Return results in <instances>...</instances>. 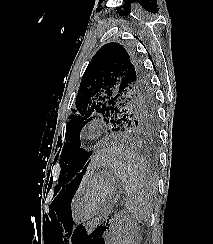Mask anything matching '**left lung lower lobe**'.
<instances>
[{
	"mask_svg": "<svg viewBox=\"0 0 213 244\" xmlns=\"http://www.w3.org/2000/svg\"><path fill=\"white\" fill-rule=\"evenodd\" d=\"M119 129V126L115 125V128L114 130H118ZM155 141V140H154ZM91 154L89 152H86V151H82L79 155V158L77 160V163H76V167H75V174L70 182V184H79L81 179H82V176L84 175L85 173V170L88 166V159L90 158Z\"/></svg>",
	"mask_w": 213,
	"mask_h": 244,
	"instance_id": "obj_1",
	"label": "left lung lower lobe"
}]
</instances>
